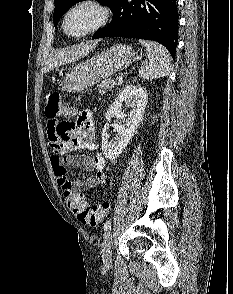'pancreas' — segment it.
I'll use <instances>...</instances> for the list:
<instances>
[{
  "label": "pancreas",
  "instance_id": "1",
  "mask_svg": "<svg viewBox=\"0 0 233 294\" xmlns=\"http://www.w3.org/2000/svg\"><path fill=\"white\" fill-rule=\"evenodd\" d=\"M121 82H117L112 78L102 81L97 87L100 94L105 93L106 89H112L117 85H121Z\"/></svg>",
  "mask_w": 233,
  "mask_h": 294
}]
</instances>
